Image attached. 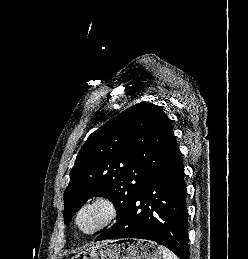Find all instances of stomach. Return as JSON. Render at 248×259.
Listing matches in <instances>:
<instances>
[{
  "label": "stomach",
  "mask_w": 248,
  "mask_h": 259,
  "mask_svg": "<svg viewBox=\"0 0 248 259\" xmlns=\"http://www.w3.org/2000/svg\"><path fill=\"white\" fill-rule=\"evenodd\" d=\"M159 245L141 239L106 241L87 248L72 259H162Z\"/></svg>",
  "instance_id": "stomach-1"
}]
</instances>
